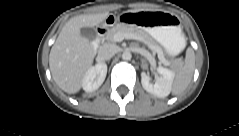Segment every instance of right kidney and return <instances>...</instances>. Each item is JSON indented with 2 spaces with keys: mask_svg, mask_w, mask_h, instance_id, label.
Returning <instances> with one entry per match:
<instances>
[{
  "mask_svg": "<svg viewBox=\"0 0 239 136\" xmlns=\"http://www.w3.org/2000/svg\"><path fill=\"white\" fill-rule=\"evenodd\" d=\"M107 75V65L99 62L95 66H92L86 72L83 81L82 88L86 92H93L97 90L104 82Z\"/></svg>",
  "mask_w": 239,
  "mask_h": 136,
  "instance_id": "1",
  "label": "right kidney"
}]
</instances>
